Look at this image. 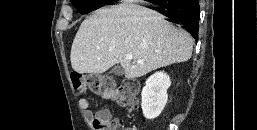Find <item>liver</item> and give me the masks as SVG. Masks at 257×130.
Masks as SVG:
<instances>
[{
    "label": "liver",
    "mask_w": 257,
    "mask_h": 130,
    "mask_svg": "<svg viewBox=\"0 0 257 130\" xmlns=\"http://www.w3.org/2000/svg\"><path fill=\"white\" fill-rule=\"evenodd\" d=\"M193 44L189 33L158 12L123 3L98 9L81 23L70 59L74 71L81 74H101L120 63L125 77L133 79L189 60ZM127 54L133 59L128 60Z\"/></svg>",
    "instance_id": "obj_1"
}]
</instances>
